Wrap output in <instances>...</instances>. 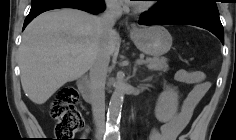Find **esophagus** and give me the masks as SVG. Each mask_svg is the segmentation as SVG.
Masks as SVG:
<instances>
[{"label": "esophagus", "mask_w": 236, "mask_h": 140, "mask_svg": "<svg viewBox=\"0 0 236 140\" xmlns=\"http://www.w3.org/2000/svg\"><path fill=\"white\" fill-rule=\"evenodd\" d=\"M134 31H136V27L131 28V32H134Z\"/></svg>", "instance_id": "obj_1"}]
</instances>
